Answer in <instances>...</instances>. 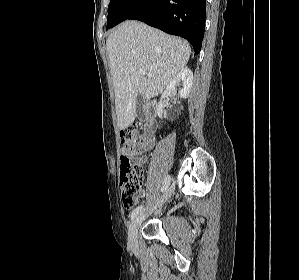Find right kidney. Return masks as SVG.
<instances>
[{
    "label": "right kidney",
    "mask_w": 299,
    "mask_h": 280,
    "mask_svg": "<svg viewBox=\"0 0 299 280\" xmlns=\"http://www.w3.org/2000/svg\"><path fill=\"white\" fill-rule=\"evenodd\" d=\"M180 81L183 83V88L178 91V95L180 98H187L192 88L193 81V73L188 67H185L180 72H178L177 75L167 85L166 90L164 91L157 107V114L159 118L162 119V115L164 112L163 99L167 98L170 93L175 91V87Z\"/></svg>",
    "instance_id": "obj_1"
}]
</instances>
